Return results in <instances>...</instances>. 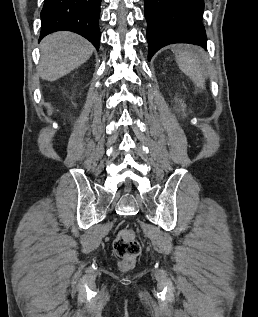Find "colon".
Masks as SVG:
<instances>
[{
  "label": "colon",
  "instance_id": "colon-1",
  "mask_svg": "<svg viewBox=\"0 0 258 317\" xmlns=\"http://www.w3.org/2000/svg\"><path fill=\"white\" fill-rule=\"evenodd\" d=\"M114 251L120 258L123 268L132 266L141 253V245L134 231L130 229L120 231L114 241Z\"/></svg>",
  "mask_w": 258,
  "mask_h": 317
}]
</instances>
